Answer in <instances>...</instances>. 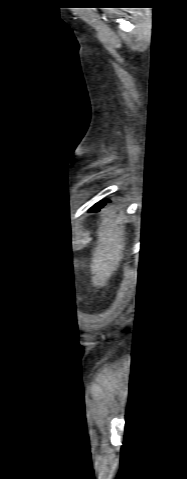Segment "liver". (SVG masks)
Returning <instances> with one entry per match:
<instances>
[{"mask_svg":"<svg viewBox=\"0 0 187 479\" xmlns=\"http://www.w3.org/2000/svg\"><path fill=\"white\" fill-rule=\"evenodd\" d=\"M97 246L91 260L92 282L103 286L119 267L125 247V227L119 218L108 212L102 219L97 232Z\"/></svg>","mask_w":187,"mask_h":479,"instance_id":"obj_1","label":"liver"}]
</instances>
